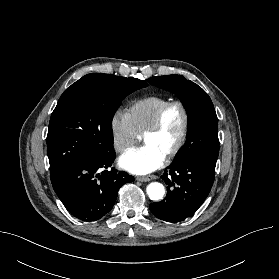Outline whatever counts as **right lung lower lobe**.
<instances>
[{
	"instance_id": "98d812e1",
	"label": "right lung lower lobe",
	"mask_w": 279,
	"mask_h": 279,
	"mask_svg": "<svg viewBox=\"0 0 279 279\" xmlns=\"http://www.w3.org/2000/svg\"><path fill=\"white\" fill-rule=\"evenodd\" d=\"M114 159V151L104 157L83 159L51 180L56 194L74 217L86 222L102 218L113 207L119 189L134 181L125 172L107 170Z\"/></svg>"
}]
</instances>
